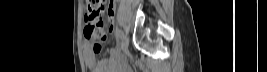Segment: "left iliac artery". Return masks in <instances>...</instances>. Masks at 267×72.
Segmentation results:
<instances>
[{"label":"left iliac artery","instance_id":"obj_1","mask_svg":"<svg viewBox=\"0 0 267 72\" xmlns=\"http://www.w3.org/2000/svg\"><path fill=\"white\" fill-rule=\"evenodd\" d=\"M116 36L118 38L119 46H120V41H121V38H122V31L120 29H116Z\"/></svg>","mask_w":267,"mask_h":72}]
</instances>
